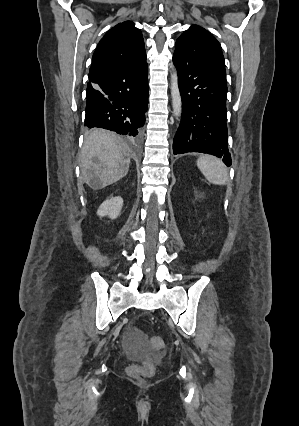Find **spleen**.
Here are the masks:
<instances>
[{"label":"spleen","mask_w":299,"mask_h":426,"mask_svg":"<svg viewBox=\"0 0 299 426\" xmlns=\"http://www.w3.org/2000/svg\"><path fill=\"white\" fill-rule=\"evenodd\" d=\"M197 166L212 184L225 185L228 180V172L220 159L210 155H204L198 158Z\"/></svg>","instance_id":"obj_1"}]
</instances>
